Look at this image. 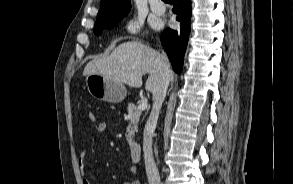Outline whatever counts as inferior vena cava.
<instances>
[{
  "label": "inferior vena cava",
  "instance_id": "602c4592",
  "mask_svg": "<svg viewBox=\"0 0 293 184\" xmlns=\"http://www.w3.org/2000/svg\"><path fill=\"white\" fill-rule=\"evenodd\" d=\"M160 66L162 68V82L158 91L153 93V107L146 123L143 135V152L149 184H161L159 172L153 157L152 137L156 128L159 112L162 103L166 97V92L170 82L168 60L164 55L161 56Z\"/></svg>",
  "mask_w": 293,
  "mask_h": 184
}]
</instances>
